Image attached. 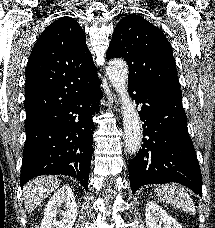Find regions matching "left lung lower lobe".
<instances>
[{
  "label": "left lung lower lobe",
  "mask_w": 215,
  "mask_h": 228,
  "mask_svg": "<svg viewBox=\"0 0 215 228\" xmlns=\"http://www.w3.org/2000/svg\"><path fill=\"white\" fill-rule=\"evenodd\" d=\"M130 96L142 104L144 144L129 164L132 193L147 184L178 182L202 194V177L188 134L181 90L151 89L129 84Z\"/></svg>",
  "instance_id": "1"
}]
</instances>
